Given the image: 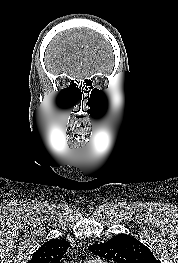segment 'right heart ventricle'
Returning a JSON list of instances; mask_svg holds the SVG:
<instances>
[{
    "instance_id": "obj_1",
    "label": "right heart ventricle",
    "mask_w": 178,
    "mask_h": 263,
    "mask_svg": "<svg viewBox=\"0 0 178 263\" xmlns=\"http://www.w3.org/2000/svg\"><path fill=\"white\" fill-rule=\"evenodd\" d=\"M85 263H103V262L100 260H89V261H86Z\"/></svg>"
}]
</instances>
